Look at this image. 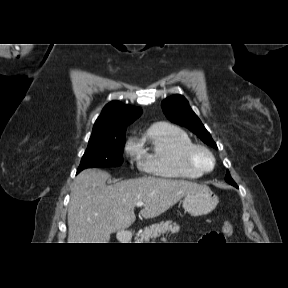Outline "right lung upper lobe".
Instances as JSON below:
<instances>
[{
	"label": "right lung upper lobe",
	"instance_id": "obj_1",
	"mask_svg": "<svg viewBox=\"0 0 288 288\" xmlns=\"http://www.w3.org/2000/svg\"><path fill=\"white\" fill-rule=\"evenodd\" d=\"M141 113V108L125 105L119 101L110 102L96 120L90 140L125 133L127 126Z\"/></svg>",
	"mask_w": 288,
	"mask_h": 288
}]
</instances>
